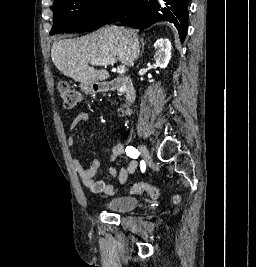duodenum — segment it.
<instances>
[{
	"instance_id": "duodenum-1",
	"label": "duodenum",
	"mask_w": 256,
	"mask_h": 267,
	"mask_svg": "<svg viewBox=\"0 0 256 267\" xmlns=\"http://www.w3.org/2000/svg\"><path fill=\"white\" fill-rule=\"evenodd\" d=\"M78 88H81L82 94H99L100 90L105 91H122L129 104H133L137 98L135 85L130 77H115L109 81H84L78 83ZM125 115L129 116L132 110L128 107L124 111Z\"/></svg>"
}]
</instances>
